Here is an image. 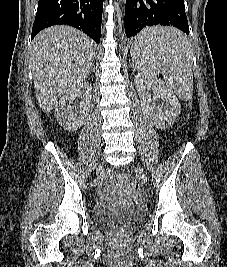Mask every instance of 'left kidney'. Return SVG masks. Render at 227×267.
Here are the masks:
<instances>
[{"label":"left kidney","mask_w":227,"mask_h":267,"mask_svg":"<svg viewBox=\"0 0 227 267\" xmlns=\"http://www.w3.org/2000/svg\"><path fill=\"white\" fill-rule=\"evenodd\" d=\"M135 85L150 122L158 129L171 126L179 116L181 106L169 86L157 77H142V73L135 76ZM151 90H154L163 102L158 105L151 104Z\"/></svg>","instance_id":"5707ae66"}]
</instances>
